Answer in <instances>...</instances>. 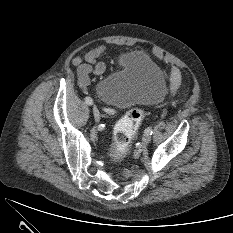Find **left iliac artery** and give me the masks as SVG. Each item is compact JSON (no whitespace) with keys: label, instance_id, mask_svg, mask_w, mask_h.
Masks as SVG:
<instances>
[{"label":"left iliac artery","instance_id":"44dca946","mask_svg":"<svg viewBox=\"0 0 233 233\" xmlns=\"http://www.w3.org/2000/svg\"><path fill=\"white\" fill-rule=\"evenodd\" d=\"M145 133L152 135L153 133L152 128L151 127L146 128Z\"/></svg>","mask_w":233,"mask_h":233}]
</instances>
